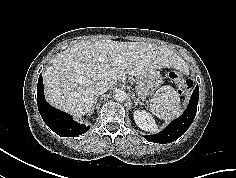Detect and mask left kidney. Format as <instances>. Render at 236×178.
Instances as JSON below:
<instances>
[{"instance_id": "obj_1", "label": "left kidney", "mask_w": 236, "mask_h": 178, "mask_svg": "<svg viewBox=\"0 0 236 178\" xmlns=\"http://www.w3.org/2000/svg\"><path fill=\"white\" fill-rule=\"evenodd\" d=\"M136 125L147 132H156L157 126L152 116L144 110H135L133 114Z\"/></svg>"}]
</instances>
